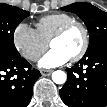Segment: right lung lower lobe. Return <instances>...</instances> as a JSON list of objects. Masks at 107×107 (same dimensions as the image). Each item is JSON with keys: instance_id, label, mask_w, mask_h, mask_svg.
<instances>
[{"instance_id": "right-lung-lower-lobe-1", "label": "right lung lower lobe", "mask_w": 107, "mask_h": 107, "mask_svg": "<svg viewBox=\"0 0 107 107\" xmlns=\"http://www.w3.org/2000/svg\"><path fill=\"white\" fill-rule=\"evenodd\" d=\"M30 67L21 56L0 55V107H26L29 104L33 85L41 76L38 70L31 71Z\"/></svg>"}]
</instances>
